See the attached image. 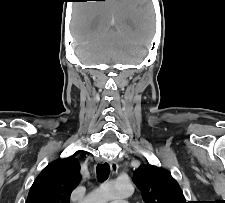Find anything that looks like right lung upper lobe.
Instances as JSON below:
<instances>
[{
	"label": "right lung upper lobe",
	"mask_w": 225,
	"mask_h": 203,
	"mask_svg": "<svg viewBox=\"0 0 225 203\" xmlns=\"http://www.w3.org/2000/svg\"><path fill=\"white\" fill-rule=\"evenodd\" d=\"M80 178V165L72 156L52 162L34 181L26 203H69Z\"/></svg>",
	"instance_id": "obj_1"
}]
</instances>
